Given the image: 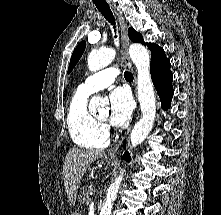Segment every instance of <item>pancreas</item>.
Returning <instances> with one entry per match:
<instances>
[{"label":"pancreas","mask_w":221,"mask_h":215,"mask_svg":"<svg viewBox=\"0 0 221 215\" xmlns=\"http://www.w3.org/2000/svg\"><path fill=\"white\" fill-rule=\"evenodd\" d=\"M92 190V184H87L80 195V202L88 205L89 204V195L88 193Z\"/></svg>","instance_id":"1"}]
</instances>
